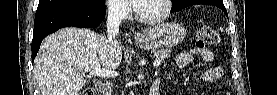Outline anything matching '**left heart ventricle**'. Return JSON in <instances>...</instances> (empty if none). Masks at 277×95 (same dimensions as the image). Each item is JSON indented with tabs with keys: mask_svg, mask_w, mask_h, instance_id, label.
I'll return each instance as SVG.
<instances>
[{
	"mask_svg": "<svg viewBox=\"0 0 277 95\" xmlns=\"http://www.w3.org/2000/svg\"><path fill=\"white\" fill-rule=\"evenodd\" d=\"M136 6L139 14L143 17H156L164 11L162 0H142L138 1Z\"/></svg>",
	"mask_w": 277,
	"mask_h": 95,
	"instance_id": "obj_1",
	"label": "left heart ventricle"
}]
</instances>
